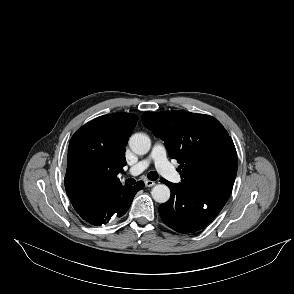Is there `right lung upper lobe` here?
I'll list each match as a JSON object with an SVG mask.
<instances>
[{"mask_svg": "<svg viewBox=\"0 0 294 294\" xmlns=\"http://www.w3.org/2000/svg\"><path fill=\"white\" fill-rule=\"evenodd\" d=\"M138 117L130 113L100 116L76 131L64 179L74 209H89L125 187L117 175L126 165L125 147Z\"/></svg>", "mask_w": 294, "mask_h": 294, "instance_id": "right-lung-upper-lobe-1", "label": "right lung upper lobe"}]
</instances>
